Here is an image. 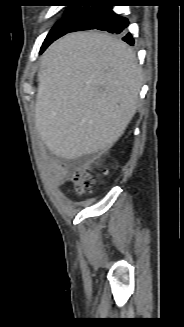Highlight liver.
Segmentation results:
<instances>
[{"instance_id": "1", "label": "liver", "mask_w": 184, "mask_h": 327, "mask_svg": "<svg viewBox=\"0 0 184 327\" xmlns=\"http://www.w3.org/2000/svg\"><path fill=\"white\" fill-rule=\"evenodd\" d=\"M142 85L136 54L106 33L79 32L44 53L35 126L54 154L74 160L102 153L134 116Z\"/></svg>"}]
</instances>
